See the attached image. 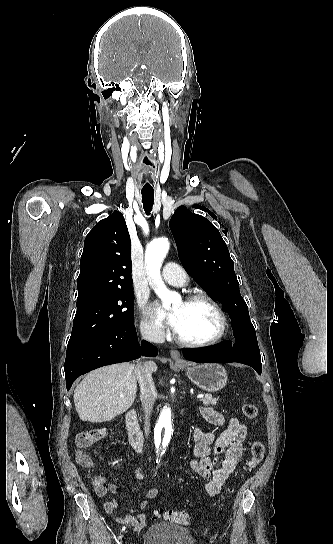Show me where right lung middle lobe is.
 I'll list each match as a JSON object with an SVG mask.
<instances>
[{
  "instance_id": "obj_1",
  "label": "right lung middle lobe",
  "mask_w": 333,
  "mask_h": 544,
  "mask_svg": "<svg viewBox=\"0 0 333 544\" xmlns=\"http://www.w3.org/2000/svg\"><path fill=\"white\" fill-rule=\"evenodd\" d=\"M133 313L132 289L100 293L77 300V311L67 351L134 323Z\"/></svg>"
}]
</instances>
